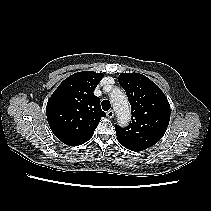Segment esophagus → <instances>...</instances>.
Instances as JSON below:
<instances>
[{"label":"esophagus","instance_id":"obj_1","mask_svg":"<svg viewBox=\"0 0 211 211\" xmlns=\"http://www.w3.org/2000/svg\"><path fill=\"white\" fill-rule=\"evenodd\" d=\"M107 117L108 118H113L114 117V111L113 110L107 111Z\"/></svg>","mask_w":211,"mask_h":211}]
</instances>
